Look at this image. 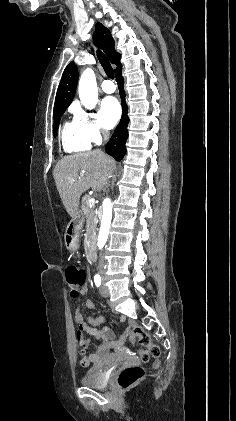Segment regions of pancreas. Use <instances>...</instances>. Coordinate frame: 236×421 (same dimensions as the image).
<instances>
[{"label": "pancreas", "mask_w": 236, "mask_h": 421, "mask_svg": "<svg viewBox=\"0 0 236 421\" xmlns=\"http://www.w3.org/2000/svg\"><path fill=\"white\" fill-rule=\"evenodd\" d=\"M82 211L83 215H85L87 219V225L92 229L93 233H96L97 231V217H96V211H94V208H90L89 206V198L88 194H85L82 198Z\"/></svg>", "instance_id": "1"}]
</instances>
